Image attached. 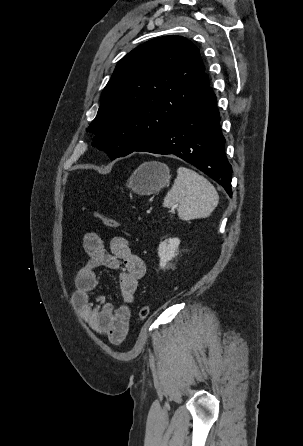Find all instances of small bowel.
<instances>
[{
    "label": "small bowel",
    "instance_id": "obj_1",
    "mask_svg": "<svg viewBox=\"0 0 303 446\" xmlns=\"http://www.w3.org/2000/svg\"><path fill=\"white\" fill-rule=\"evenodd\" d=\"M88 259L73 278L72 302L83 320L96 333L121 344L129 330L130 308L134 303L139 281L144 277V261L132 250L124 237H114L106 250L102 238L95 232L84 235L81 246ZM105 267L119 272L120 305L115 307L102 295H94L98 285L97 269Z\"/></svg>",
    "mask_w": 303,
    "mask_h": 446
}]
</instances>
